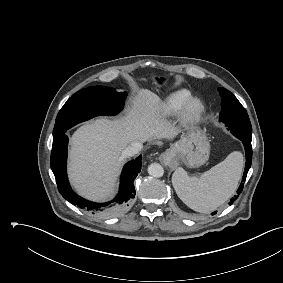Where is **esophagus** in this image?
Returning a JSON list of instances; mask_svg holds the SVG:
<instances>
[{
	"mask_svg": "<svg viewBox=\"0 0 283 283\" xmlns=\"http://www.w3.org/2000/svg\"><path fill=\"white\" fill-rule=\"evenodd\" d=\"M160 159L163 163L167 164L170 161V156L168 153H163L161 154Z\"/></svg>",
	"mask_w": 283,
	"mask_h": 283,
	"instance_id": "esophagus-1",
	"label": "esophagus"
}]
</instances>
